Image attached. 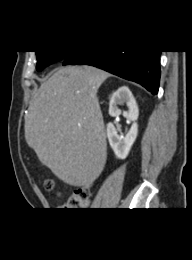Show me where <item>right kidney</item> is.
<instances>
[{"mask_svg":"<svg viewBox=\"0 0 192 260\" xmlns=\"http://www.w3.org/2000/svg\"><path fill=\"white\" fill-rule=\"evenodd\" d=\"M124 103L127 106V110L122 112L118 108V105ZM109 114L112 117H117L122 114L128 121L132 122V126L125 137L118 134L113 123L107 124V137L112 150L119 159H125L138 134L136 121L139 115L135 98L128 87H120L113 93L109 103Z\"/></svg>","mask_w":192,"mask_h":260,"instance_id":"1","label":"right kidney"}]
</instances>
